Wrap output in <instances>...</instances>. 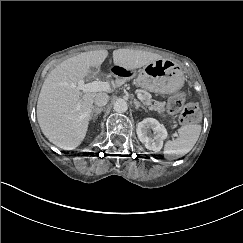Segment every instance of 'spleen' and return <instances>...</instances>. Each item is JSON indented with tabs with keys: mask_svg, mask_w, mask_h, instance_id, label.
<instances>
[{
	"mask_svg": "<svg viewBox=\"0 0 243 243\" xmlns=\"http://www.w3.org/2000/svg\"><path fill=\"white\" fill-rule=\"evenodd\" d=\"M201 124H188L178 129V137L167 140L164 155H186L195 146L201 134Z\"/></svg>",
	"mask_w": 243,
	"mask_h": 243,
	"instance_id": "3e777b00",
	"label": "spleen"
}]
</instances>
